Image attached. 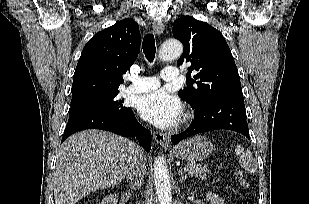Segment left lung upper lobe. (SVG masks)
I'll use <instances>...</instances> for the list:
<instances>
[{
    "label": "left lung upper lobe",
    "instance_id": "1",
    "mask_svg": "<svg viewBox=\"0 0 309 204\" xmlns=\"http://www.w3.org/2000/svg\"><path fill=\"white\" fill-rule=\"evenodd\" d=\"M173 36L184 52L177 64L189 62L194 80L178 95L192 109L222 97H243L235 61L223 35L206 22L183 16L173 24ZM193 83L197 86L193 87Z\"/></svg>",
    "mask_w": 309,
    "mask_h": 204
}]
</instances>
